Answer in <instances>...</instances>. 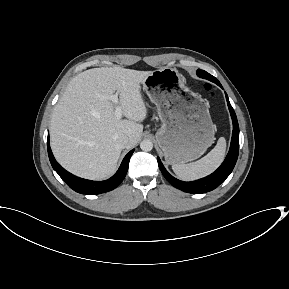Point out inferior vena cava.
Returning a JSON list of instances; mask_svg holds the SVG:
<instances>
[{
    "label": "inferior vena cava",
    "mask_w": 289,
    "mask_h": 289,
    "mask_svg": "<svg viewBox=\"0 0 289 289\" xmlns=\"http://www.w3.org/2000/svg\"><path fill=\"white\" fill-rule=\"evenodd\" d=\"M128 142H129V139L126 136H122L117 140L118 146L122 149L127 147Z\"/></svg>",
    "instance_id": "inferior-vena-cava-1"
}]
</instances>
